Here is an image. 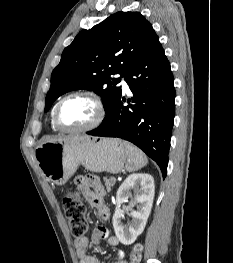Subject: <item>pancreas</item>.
Segmentation results:
<instances>
[{
  "label": "pancreas",
  "instance_id": "1",
  "mask_svg": "<svg viewBox=\"0 0 233 263\" xmlns=\"http://www.w3.org/2000/svg\"><path fill=\"white\" fill-rule=\"evenodd\" d=\"M104 182H105V186H106V189H107V191L108 192H110L111 191V188L114 186V184H115V181L114 180H112L111 178L110 179H108V178H104Z\"/></svg>",
  "mask_w": 233,
  "mask_h": 263
}]
</instances>
